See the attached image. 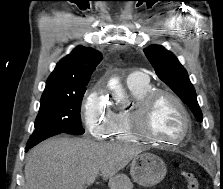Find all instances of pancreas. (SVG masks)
<instances>
[{
    "instance_id": "cf45deb5",
    "label": "pancreas",
    "mask_w": 223,
    "mask_h": 189,
    "mask_svg": "<svg viewBox=\"0 0 223 189\" xmlns=\"http://www.w3.org/2000/svg\"><path fill=\"white\" fill-rule=\"evenodd\" d=\"M125 179L127 178L125 177ZM127 186L131 187V183L129 181L127 182Z\"/></svg>"
}]
</instances>
